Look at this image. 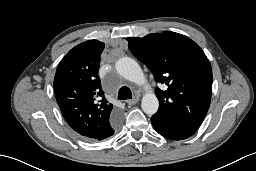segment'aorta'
Segmentation results:
<instances>
[{
    "instance_id": "762f6f07",
    "label": "aorta",
    "mask_w": 256,
    "mask_h": 171,
    "mask_svg": "<svg viewBox=\"0 0 256 171\" xmlns=\"http://www.w3.org/2000/svg\"><path fill=\"white\" fill-rule=\"evenodd\" d=\"M117 72L125 79L138 85H146L147 80L139 64L130 57H122L115 64ZM142 110L153 115L157 112L159 101L156 95L149 91L145 93L141 101Z\"/></svg>"
}]
</instances>
